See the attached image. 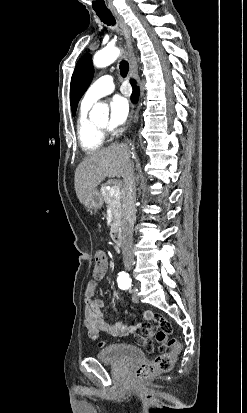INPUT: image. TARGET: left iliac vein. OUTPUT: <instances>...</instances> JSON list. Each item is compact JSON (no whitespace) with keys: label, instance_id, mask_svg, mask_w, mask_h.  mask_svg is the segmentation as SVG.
Masks as SVG:
<instances>
[{"label":"left iliac vein","instance_id":"obj_1","mask_svg":"<svg viewBox=\"0 0 247 413\" xmlns=\"http://www.w3.org/2000/svg\"><path fill=\"white\" fill-rule=\"evenodd\" d=\"M132 301H133L134 303H137V302H138V298H137V293H136V292H134V293L132 294Z\"/></svg>","mask_w":247,"mask_h":413}]
</instances>
